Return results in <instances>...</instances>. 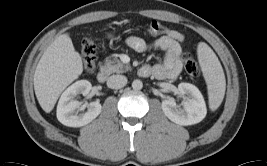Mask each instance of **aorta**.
I'll return each mask as SVG.
<instances>
[{"instance_id": "1", "label": "aorta", "mask_w": 267, "mask_h": 166, "mask_svg": "<svg viewBox=\"0 0 267 166\" xmlns=\"http://www.w3.org/2000/svg\"><path fill=\"white\" fill-rule=\"evenodd\" d=\"M142 87H143V83H142L141 80L136 79V80H134V81L132 82V88H133L134 90H141Z\"/></svg>"}]
</instances>
